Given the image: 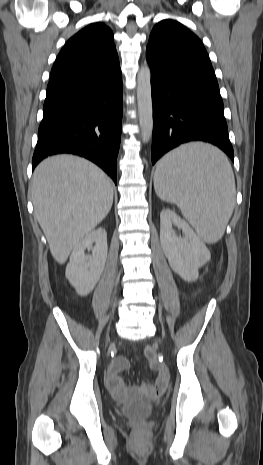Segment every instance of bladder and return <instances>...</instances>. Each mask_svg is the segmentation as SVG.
<instances>
[{"label":"bladder","mask_w":263,"mask_h":465,"mask_svg":"<svg viewBox=\"0 0 263 465\" xmlns=\"http://www.w3.org/2000/svg\"><path fill=\"white\" fill-rule=\"evenodd\" d=\"M154 408L149 403L132 402L121 407L120 413L128 418H145L150 416Z\"/></svg>","instance_id":"bladder-1"}]
</instances>
